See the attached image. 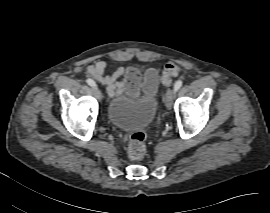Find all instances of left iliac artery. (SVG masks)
Wrapping results in <instances>:
<instances>
[{
  "mask_svg": "<svg viewBox=\"0 0 270 213\" xmlns=\"http://www.w3.org/2000/svg\"><path fill=\"white\" fill-rule=\"evenodd\" d=\"M182 84H183L182 80L176 81V83L174 84V90L178 91L180 89V87L182 86Z\"/></svg>",
  "mask_w": 270,
  "mask_h": 213,
  "instance_id": "left-iliac-artery-1",
  "label": "left iliac artery"
}]
</instances>
